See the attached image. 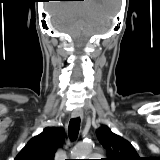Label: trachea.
<instances>
[{
    "mask_svg": "<svg viewBox=\"0 0 160 160\" xmlns=\"http://www.w3.org/2000/svg\"><path fill=\"white\" fill-rule=\"evenodd\" d=\"M79 130H80V118L71 119L68 127V134L71 141H75L77 139Z\"/></svg>",
    "mask_w": 160,
    "mask_h": 160,
    "instance_id": "obj_1",
    "label": "trachea"
}]
</instances>
